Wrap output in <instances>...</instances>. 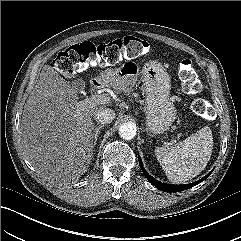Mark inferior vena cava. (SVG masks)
Instances as JSON below:
<instances>
[{
    "label": "inferior vena cava",
    "instance_id": "1",
    "mask_svg": "<svg viewBox=\"0 0 241 241\" xmlns=\"http://www.w3.org/2000/svg\"><path fill=\"white\" fill-rule=\"evenodd\" d=\"M93 118L101 124L111 123L115 118V111L109 108H99L94 112Z\"/></svg>",
    "mask_w": 241,
    "mask_h": 241
}]
</instances>
